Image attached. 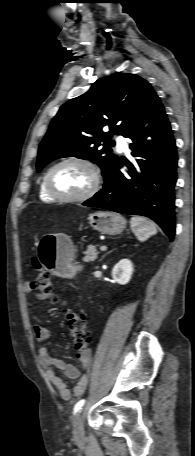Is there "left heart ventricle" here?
Listing matches in <instances>:
<instances>
[{"mask_svg":"<svg viewBox=\"0 0 195 456\" xmlns=\"http://www.w3.org/2000/svg\"><path fill=\"white\" fill-rule=\"evenodd\" d=\"M51 185L59 194L76 196L86 192L92 183L90 170L78 163H67L56 168L51 175Z\"/></svg>","mask_w":195,"mask_h":456,"instance_id":"1","label":"left heart ventricle"}]
</instances>
